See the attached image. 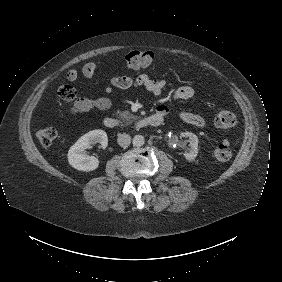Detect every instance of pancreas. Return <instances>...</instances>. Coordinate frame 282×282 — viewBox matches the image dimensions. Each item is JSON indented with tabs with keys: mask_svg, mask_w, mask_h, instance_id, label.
<instances>
[{
	"mask_svg": "<svg viewBox=\"0 0 282 282\" xmlns=\"http://www.w3.org/2000/svg\"><path fill=\"white\" fill-rule=\"evenodd\" d=\"M116 113L118 114L117 118H119L122 123L129 124V123L137 122L141 120L140 116L133 115L128 110H125V111L117 110Z\"/></svg>",
	"mask_w": 282,
	"mask_h": 282,
	"instance_id": "1",
	"label": "pancreas"
}]
</instances>
